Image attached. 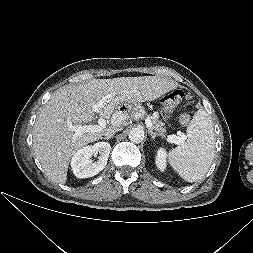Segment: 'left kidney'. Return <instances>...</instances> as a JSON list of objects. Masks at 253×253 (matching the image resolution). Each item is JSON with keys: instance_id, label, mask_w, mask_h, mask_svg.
Returning <instances> with one entry per match:
<instances>
[{"instance_id": "5707ae66", "label": "left kidney", "mask_w": 253, "mask_h": 253, "mask_svg": "<svg viewBox=\"0 0 253 253\" xmlns=\"http://www.w3.org/2000/svg\"><path fill=\"white\" fill-rule=\"evenodd\" d=\"M166 158H167V153L163 148H160L157 151V156H156V166L160 171H164L166 169L167 166V162H166Z\"/></svg>"}]
</instances>
